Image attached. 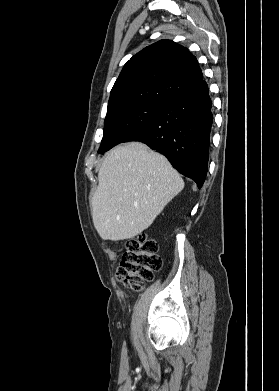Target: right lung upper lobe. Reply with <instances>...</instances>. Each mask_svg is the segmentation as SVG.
Returning <instances> with one entry per match:
<instances>
[{
  "instance_id": "right-lung-upper-lobe-1",
  "label": "right lung upper lobe",
  "mask_w": 279,
  "mask_h": 391,
  "mask_svg": "<svg viewBox=\"0 0 279 391\" xmlns=\"http://www.w3.org/2000/svg\"><path fill=\"white\" fill-rule=\"evenodd\" d=\"M203 81L188 49L160 40L134 55L114 83L107 112L140 103L164 104Z\"/></svg>"
}]
</instances>
